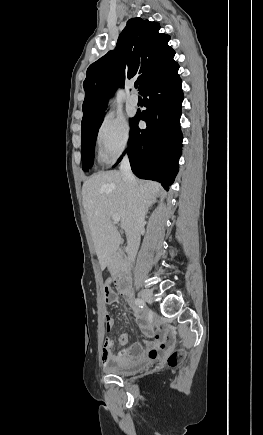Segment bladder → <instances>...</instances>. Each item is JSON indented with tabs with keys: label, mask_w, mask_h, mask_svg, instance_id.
<instances>
[{
	"label": "bladder",
	"mask_w": 263,
	"mask_h": 435,
	"mask_svg": "<svg viewBox=\"0 0 263 435\" xmlns=\"http://www.w3.org/2000/svg\"><path fill=\"white\" fill-rule=\"evenodd\" d=\"M151 362L149 360H140L133 363L116 364L108 369L112 374L119 376H128L142 370L148 366Z\"/></svg>",
	"instance_id": "1"
}]
</instances>
